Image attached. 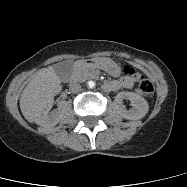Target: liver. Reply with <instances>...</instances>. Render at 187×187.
Returning <instances> with one entry per match:
<instances>
[{
    "label": "liver",
    "instance_id": "liver-1",
    "mask_svg": "<svg viewBox=\"0 0 187 187\" xmlns=\"http://www.w3.org/2000/svg\"><path fill=\"white\" fill-rule=\"evenodd\" d=\"M61 90V80L53 66L39 70L20 97V109L25 119L29 122H36L48 101Z\"/></svg>",
    "mask_w": 187,
    "mask_h": 187
}]
</instances>
